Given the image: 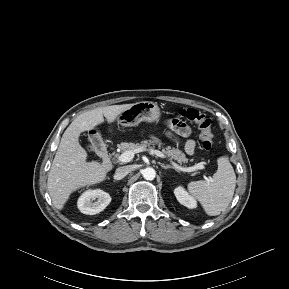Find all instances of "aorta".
Listing matches in <instances>:
<instances>
[{
	"instance_id": "762f6f07",
	"label": "aorta",
	"mask_w": 289,
	"mask_h": 289,
	"mask_svg": "<svg viewBox=\"0 0 289 289\" xmlns=\"http://www.w3.org/2000/svg\"><path fill=\"white\" fill-rule=\"evenodd\" d=\"M142 175L146 180H153L156 176V171L152 167H147L143 170Z\"/></svg>"
}]
</instances>
